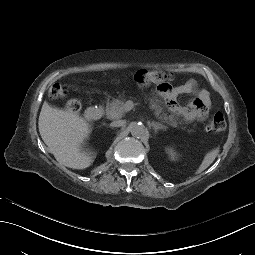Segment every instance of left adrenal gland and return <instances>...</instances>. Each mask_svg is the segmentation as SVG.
<instances>
[{
  "instance_id": "obj_1",
  "label": "left adrenal gland",
  "mask_w": 255,
  "mask_h": 255,
  "mask_svg": "<svg viewBox=\"0 0 255 255\" xmlns=\"http://www.w3.org/2000/svg\"><path fill=\"white\" fill-rule=\"evenodd\" d=\"M151 126L153 127V129H154L155 132H157L158 129H164V130H166V126L162 125V124L159 123V122H154V121H152V122H151Z\"/></svg>"
}]
</instances>
